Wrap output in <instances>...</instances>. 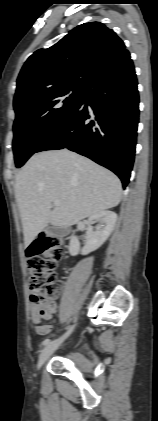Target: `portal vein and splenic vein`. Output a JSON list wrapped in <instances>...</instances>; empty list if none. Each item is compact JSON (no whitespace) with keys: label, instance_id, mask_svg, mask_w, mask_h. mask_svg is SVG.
<instances>
[{"label":"portal vein and splenic vein","instance_id":"obj_1","mask_svg":"<svg viewBox=\"0 0 158 421\" xmlns=\"http://www.w3.org/2000/svg\"><path fill=\"white\" fill-rule=\"evenodd\" d=\"M53 203H54V206H55V207L60 206V201H59V200H55Z\"/></svg>","mask_w":158,"mask_h":421}]
</instances>
